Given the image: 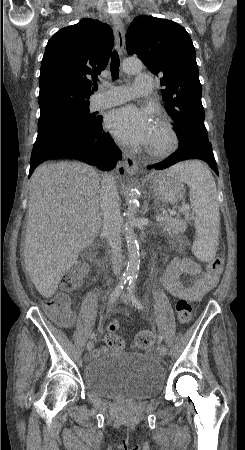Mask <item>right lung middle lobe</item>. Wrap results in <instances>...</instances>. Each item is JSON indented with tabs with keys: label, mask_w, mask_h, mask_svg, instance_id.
<instances>
[{
	"label": "right lung middle lobe",
	"mask_w": 245,
	"mask_h": 450,
	"mask_svg": "<svg viewBox=\"0 0 245 450\" xmlns=\"http://www.w3.org/2000/svg\"><path fill=\"white\" fill-rule=\"evenodd\" d=\"M95 120L96 116L89 112V104L57 105L43 109L34 149L66 136L83 133Z\"/></svg>",
	"instance_id": "obj_1"
}]
</instances>
